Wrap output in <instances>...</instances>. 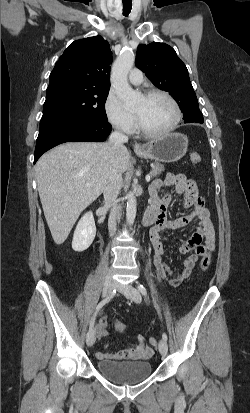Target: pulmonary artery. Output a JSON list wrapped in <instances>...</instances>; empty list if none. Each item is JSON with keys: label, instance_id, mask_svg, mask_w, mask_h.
Masks as SVG:
<instances>
[{"label": "pulmonary artery", "instance_id": "pulmonary-artery-1", "mask_svg": "<svg viewBox=\"0 0 250 413\" xmlns=\"http://www.w3.org/2000/svg\"><path fill=\"white\" fill-rule=\"evenodd\" d=\"M128 80L133 85L141 84L143 81L141 70H139L138 68H133L128 75Z\"/></svg>", "mask_w": 250, "mask_h": 413}]
</instances>
